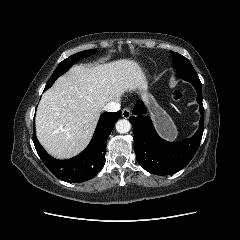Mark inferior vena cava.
Wrapping results in <instances>:
<instances>
[{
	"mask_svg": "<svg viewBox=\"0 0 240 240\" xmlns=\"http://www.w3.org/2000/svg\"><path fill=\"white\" fill-rule=\"evenodd\" d=\"M104 111L107 112H117L120 110V103L119 102H110L107 103L104 107H103Z\"/></svg>",
	"mask_w": 240,
	"mask_h": 240,
	"instance_id": "inferior-vena-cava-1",
	"label": "inferior vena cava"
}]
</instances>
